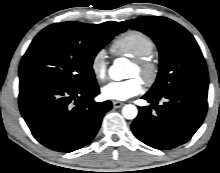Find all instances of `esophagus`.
<instances>
[{
    "instance_id": "34e87169",
    "label": "esophagus",
    "mask_w": 220,
    "mask_h": 173,
    "mask_svg": "<svg viewBox=\"0 0 220 173\" xmlns=\"http://www.w3.org/2000/svg\"><path fill=\"white\" fill-rule=\"evenodd\" d=\"M123 105H124V103L121 102V101H113V107H114V108H120V107H122Z\"/></svg>"
}]
</instances>
